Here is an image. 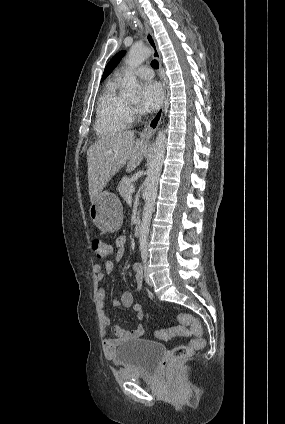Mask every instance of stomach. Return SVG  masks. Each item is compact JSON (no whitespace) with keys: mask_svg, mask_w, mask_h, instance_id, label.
<instances>
[{"mask_svg":"<svg viewBox=\"0 0 285 424\" xmlns=\"http://www.w3.org/2000/svg\"><path fill=\"white\" fill-rule=\"evenodd\" d=\"M89 215L92 222L102 232H114L122 224L123 207L114 193L104 191L91 203Z\"/></svg>","mask_w":285,"mask_h":424,"instance_id":"obj_1","label":"stomach"}]
</instances>
